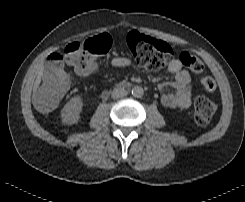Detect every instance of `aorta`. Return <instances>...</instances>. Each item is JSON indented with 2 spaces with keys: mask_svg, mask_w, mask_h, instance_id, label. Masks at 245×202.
Here are the masks:
<instances>
[{
  "mask_svg": "<svg viewBox=\"0 0 245 202\" xmlns=\"http://www.w3.org/2000/svg\"><path fill=\"white\" fill-rule=\"evenodd\" d=\"M144 94V90L141 86H135L132 88V95L137 98H141Z\"/></svg>",
  "mask_w": 245,
  "mask_h": 202,
  "instance_id": "1",
  "label": "aorta"
}]
</instances>
